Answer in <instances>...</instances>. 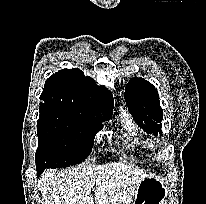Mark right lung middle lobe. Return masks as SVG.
<instances>
[{"instance_id": "right-lung-middle-lobe-1", "label": "right lung middle lobe", "mask_w": 206, "mask_h": 204, "mask_svg": "<svg viewBox=\"0 0 206 204\" xmlns=\"http://www.w3.org/2000/svg\"><path fill=\"white\" fill-rule=\"evenodd\" d=\"M36 167L61 168L75 165L92 151L95 134L109 119L73 110L39 107Z\"/></svg>"}]
</instances>
